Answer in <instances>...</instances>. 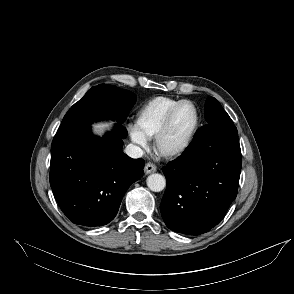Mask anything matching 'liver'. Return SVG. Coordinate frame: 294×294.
Listing matches in <instances>:
<instances>
[{"instance_id": "obj_1", "label": "liver", "mask_w": 294, "mask_h": 294, "mask_svg": "<svg viewBox=\"0 0 294 294\" xmlns=\"http://www.w3.org/2000/svg\"><path fill=\"white\" fill-rule=\"evenodd\" d=\"M108 126H109V124H107V123H98V124L93 125L95 133H97L99 135L101 133H103L104 129Z\"/></svg>"}]
</instances>
